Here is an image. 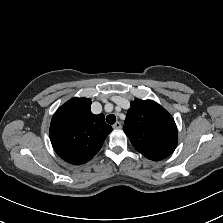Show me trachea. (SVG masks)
Instances as JSON below:
<instances>
[{
  "mask_svg": "<svg viewBox=\"0 0 223 223\" xmlns=\"http://www.w3.org/2000/svg\"><path fill=\"white\" fill-rule=\"evenodd\" d=\"M106 121L108 124H114L116 122V116L114 114H109L106 117Z\"/></svg>",
  "mask_w": 223,
  "mask_h": 223,
  "instance_id": "1",
  "label": "trachea"
}]
</instances>
